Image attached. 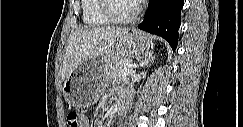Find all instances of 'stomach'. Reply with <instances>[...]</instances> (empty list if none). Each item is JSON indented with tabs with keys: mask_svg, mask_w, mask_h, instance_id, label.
I'll return each instance as SVG.
<instances>
[{
	"mask_svg": "<svg viewBox=\"0 0 243 127\" xmlns=\"http://www.w3.org/2000/svg\"><path fill=\"white\" fill-rule=\"evenodd\" d=\"M151 46L150 39L140 31L121 36L109 50L84 61L66 77L62 86L65 100L76 108L92 106L104 90L111 66L120 59L146 56Z\"/></svg>",
	"mask_w": 243,
	"mask_h": 127,
	"instance_id": "stomach-1",
	"label": "stomach"
}]
</instances>
